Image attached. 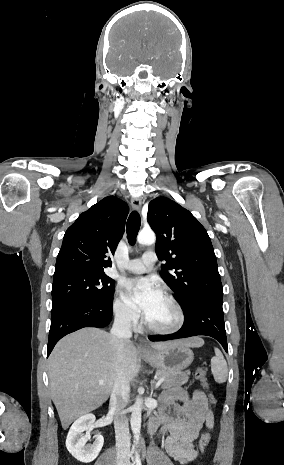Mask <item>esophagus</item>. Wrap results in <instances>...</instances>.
Returning a JSON list of instances; mask_svg holds the SVG:
<instances>
[{"instance_id":"34e87169","label":"esophagus","mask_w":284,"mask_h":465,"mask_svg":"<svg viewBox=\"0 0 284 465\" xmlns=\"http://www.w3.org/2000/svg\"><path fill=\"white\" fill-rule=\"evenodd\" d=\"M142 205L141 198L139 197H132L131 198V206L134 210H140ZM141 343H144L143 339H140Z\"/></svg>"}]
</instances>
